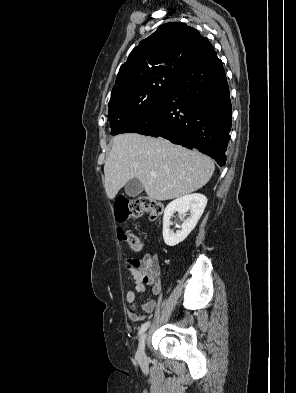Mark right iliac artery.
Returning a JSON list of instances; mask_svg holds the SVG:
<instances>
[{"label": "right iliac artery", "instance_id": "1", "mask_svg": "<svg viewBox=\"0 0 296 393\" xmlns=\"http://www.w3.org/2000/svg\"><path fill=\"white\" fill-rule=\"evenodd\" d=\"M149 325H150V321L145 322L144 324H142L141 328L139 329L138 335L140 336L141 334H143L147 330Z\"/></svg>", "mask_w": 296, "mask_h": 393}]
</instances>
